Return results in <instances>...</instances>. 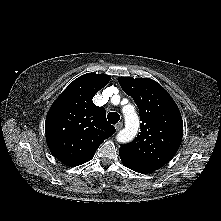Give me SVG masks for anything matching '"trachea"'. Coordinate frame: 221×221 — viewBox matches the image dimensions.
Segmentation results:
<instances>
[{
	"mask_svg": "<svg viewBox=\"0 0 221 221\" xmlns=\"http://www.w3.org/2000/svg\"><path fill=\"white\" fill-rule=\"evenodd\" d=\"M109 123L116 124L120 120V116L116 112H110L107 116Z\"/></svg>",
	"mask_w": 221,
	"mask_h": 221,
	"instance_id": "1",
	"label": "trachea"
}]
</instances>
